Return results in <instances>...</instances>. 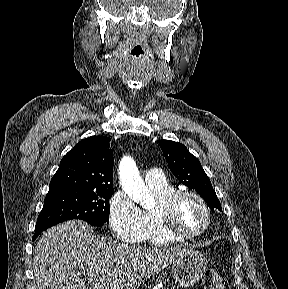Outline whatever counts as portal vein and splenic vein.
Returning a JSON list of instances; mask_svg holds the SVG:
<instances>
[{
    "label": "portal vein and splenic vein",
    "instance_id": "obj_1",
    "mask_svg": "<svg viewBox=\"0 0 288 289\" xmlns=\"http://www.w3.org/2000/svg\"><path fill=\"white\" fill-rule=\"evenodd\" d=\"M89 284L93 287V289H102V285L98 283L97 279L93 276L86 274Z\"/></svg>",
    "mask_w": 288,
    "mask_h": 289
}]
</instances>
